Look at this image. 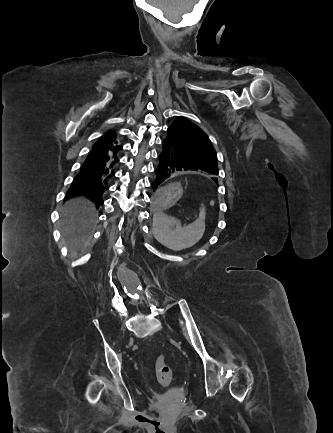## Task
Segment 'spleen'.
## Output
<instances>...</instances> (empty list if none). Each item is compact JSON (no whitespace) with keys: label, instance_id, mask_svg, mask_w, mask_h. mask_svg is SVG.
<instances>
[{"label":"spleen","instance_id":"obj_1","mask_svg":"<svg viewBox=\"0 0 333 433\" xmlns=\"http://www.w3.org/2000/svg\"><path fill=\"white\" fill-rule=\"evenodd\" d=\"M204 231V213L193 223L182 227L177 219L161 210H154L152 234L158 242L169 249L180 251L193 246L202 238Z\"/></svg>","mask_w":333,"mask_h":433}]
</instances>
